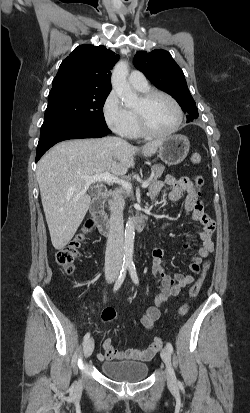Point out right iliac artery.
Masks as SVG:
<instances>
[{"instance_id":"1","label":"right iliac artery","mask_w":250,"mask_h":413,"mask_svg":"<svg viewBox=\"0 0 250 413\" xmlns=\"http://www.w3.org/2000/svg\"><path fill=\"white\" fill-rule=\"evenodd\" d=\"M127 268H128V265H127V264H123L122 269H121V271H120V274H119V276H118V278H117V280H116V282H115V284H114V291H117V290L121 287L122 283L124 282V279H125V277H126ZM89 338H90V333L88 332V333H86V335L84 336V339H83V340H84V343H85Z\"/></svg>"}]
</instances>
